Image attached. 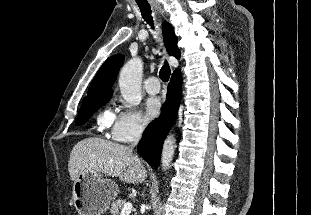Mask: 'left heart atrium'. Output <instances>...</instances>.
<instances>
[{"label": "left heart atrium", "mask_w": 311, "mask_h": 215, "mask_svg": "<svg viewBox=\"0 0 311 215\" xmlns=\"http://www.w3.org/2000/svg\"><path fill=\"white\" fill-rule=\"evenodd\" d=\"M161 110V102L158 98L152 97L147 99L144 106V119L146 122L157 117Z\"/></svg>", "instance_id": "obj_1"}]
</instances>
